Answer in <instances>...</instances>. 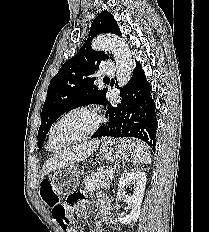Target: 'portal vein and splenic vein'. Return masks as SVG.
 Masks as SVG:
<instances>
[{
    "mask_svg": "<svg viewBox=\"0 0 209 232\" xmlns=\"http://www.w3.org/2000/svg\"><path fill=\"white\" fill-rule=\"evenodd\" d=\"M114 171H115L114 169H111V170L108 172V174H109L110 177H113Z\"/></svg>",
    "mask_w": 209,
    "mask_h": 232,
    "instance_id": "18ae733b",
    "label": "portal vein and splenic vein"
}]
</instances>
